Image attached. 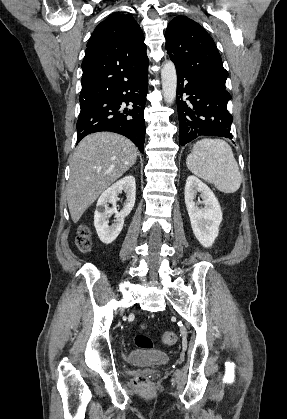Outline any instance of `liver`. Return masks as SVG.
<instances>
[{
  "mask_svg": "<svg viewBox=\"0 0 287 419\" xmlns=\"http://www.w3.org/2000/svg\"><path fill=\"white\" fill-rule=\"evenodd\" d=\"M137 147L126 137L97 132L78 144L70 161L67 203L74 223L136 162Z\"/></svg>",
  "mask_w": 287,
  "mask_h": 419,
  "instance_id": "liver-1",
  "label": "liver"
}]
</instances>
